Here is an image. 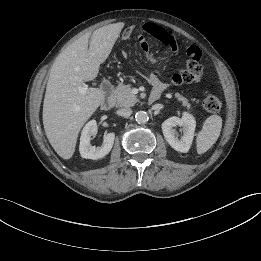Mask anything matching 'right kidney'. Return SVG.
<instances>
[{"instance_id": "obj_1", "label": "right kidney", "mask_w": 261, "mask_h": 261, "mask_svg": "<svg viewBox=\"0 0 261 261\" xmlns=\"http://www.w3.org/2000/svg\"><path fill=\"white\" fill-rule=\"evenodd\" d=\"M97 133V123L95 120L89 121L83 128L81 137L79 151L81 157L85 159H100L106 156L112 149L115 134L113 132L108 133L103 138V143L100 147L91 146V137Z\"/></svg>"}]
</instances>
